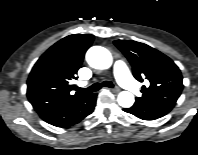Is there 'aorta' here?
<instances>
[{
    "mask_svg": "<svg viewBox=\"0 0 198 155\" xmlns=\"http://www.w3.org/2000/svg\"><path fill=\"white\" fill-rule=\"evenodd\" d=\"M87 63L95 69H108L111 67L113 58L109 50L101 46H93L86 53ZM118 104L123 108L131 107L135 98L131 92L122 91L117 97Z\"/></svg>",
    "mask_w": 198,
    "mask_h": 155,
    "instance_id": "obj_1",
    "label": "aorta"
}]
</instances>
